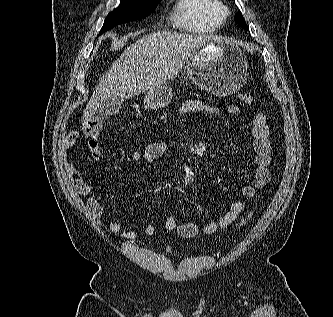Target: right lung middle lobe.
Segmentation results:
<instances>
[{"mask_svg":"<svg viewBox=\"0 0 333 317\" xmlns=\"http://www.w3.org/2000/svg\"><path fill=\"white\" fill-rule=\"evenodd\" d=\"M159 1L146 0H121L117 9L106 17L100 33L109 30L115 25L148 16L157 6Z\"/></svg>","mask_w":333,"mask_h":317,"instance_id":"obj_1","label":"right lung middle lobe"}]
</instances>
